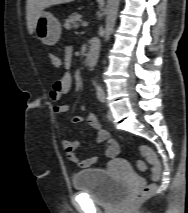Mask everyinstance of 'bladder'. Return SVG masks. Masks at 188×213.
I'll list each match as a JSON object with an SVG mask.
<instances>
[{
    "label": "bladder",
    "instance_id": "31cf9c89",
    "mask_svg": "<svg viewBox=\"0 0 188 213\" xmlns=\"http://www.w3.org/2000/svg\"><path fill=\"white\" fill-rule=\"evenodd\" d=\"M75 190L91 197L98 205L112 207L123 198L128 190L127 183L113 178L103 168L84 169L72 178Z\"/></svg>",
    "mask_w": 188,
    "mask_h": 213
}]
</instances>
